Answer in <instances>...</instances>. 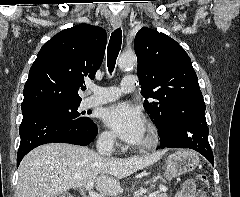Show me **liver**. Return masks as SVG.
Returning a JSON list of instances; mask_svg holds the SVG:
<instances>
[{"label": "liver", "instance_id": "obj_1", "mask_svg": "<svg viewBox=\"0 0 240 197\" xmlns=\"http://www.w3.org/2000/svg\"><path fill=\"white\" fill-rule=\"evenodd\" d=\"M162 154L122 159L71 144L42 145L23 158L16 197H57L88 182H94L103 195H115L121 189L120 179L154 164Z\"/></svg>", "mask_w": 240, "mask_h": 197}]
</instances>
